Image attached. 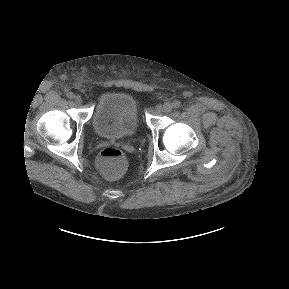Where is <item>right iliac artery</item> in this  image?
Listing matches in <instances>:
<instances>
[{
    "label": "right iliac artery",
    "mask_w": 289,
    "mask_h": 289,
    "mask_svg": "<svg viewBox=\"0 0 289 289\" xmlns=\"http://www.w3.org/2000/svg\"><path fill=\"white\" fill-rule=\"evenodd\" d=\"M67 97H68L69 99H73V98L75 97V95H74V93L69 92V93H67Z\"/></svg>",
    "instance_id": "1"
}]
</instances>
